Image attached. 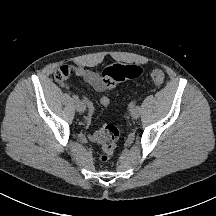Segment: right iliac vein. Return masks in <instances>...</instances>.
<instances>
[{"mask_svg":"<svg viewBox=\"0 0 216 216\" xmlns=\"http://www.w3.org/2000/svg\"><path fill=\"white\" fill-rule=\"evenodd\" d=\"M76 110L80 113H83L86 110V105L83 101L76 102Z\"/></svg>","mask_w":216,"mask_h":216,"instance_id":"obj_1","label":"right iliac vein"}]
</instances>
